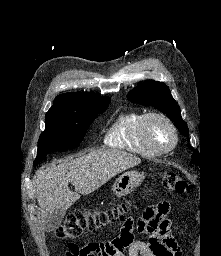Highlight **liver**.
Instances as JSON below:
<instances>
[{
  "mask_svg": "<svg viewBox=\"0 0 221 256\" xmlns=\"http://www.w3.org/2000/svg\"><path fill=\"white\" fill-rule=\"evenodd\" d=\"M141 159L116 149H100L75 159L51 163L36 172L34 183L41 219L55 209L67 210L80 195H88L117 174L135 167ZM74 185L75 192L68 187Z\"/></svg>",
  "mask_w": 221,
  "mask_h": 256,
  "instance_id": "1",
  "label": "liver"
}]
</instances>
